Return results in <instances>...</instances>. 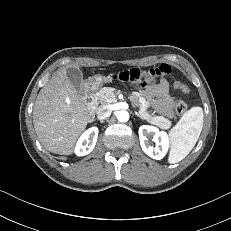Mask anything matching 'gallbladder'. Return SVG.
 <instances>
[{
    "label": "gallbladder",
    "mask_w": 231,
    "mask_h": 231,
    "mask_svg": "<svg viewBox=\"0 0 231 231\" xmlns=\"http://www.w3.org/2000/svg\"><path fill=\"white\" fill-rule=\"evenodd\" d=\"M66 75L70 83L73 85V87L77 91H80L83 82V74L81 70L78 68H68L66 70Z\"/></svg>",
    "instance_id": "obj_1"
}]
</instances>
